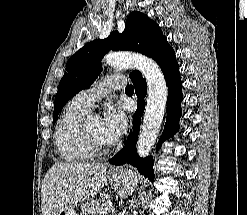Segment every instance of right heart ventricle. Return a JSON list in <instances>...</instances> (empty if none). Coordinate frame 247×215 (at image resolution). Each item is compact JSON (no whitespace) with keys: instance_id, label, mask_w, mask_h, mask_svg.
Listing matches in <instances>:
<instances>
[{"instance_id":"e07e8e85","label":"right heart ventricle","mask_w":247,"mask_h":215,"mask_svg":"<svg viewBox=\"0 0 247 215\" xmlns=\"http://www.w3.org/2000/svg\"><path fill=\"white\" fill-rule=\"evenodd\" d=\"M87 109L72 100L63 110L55 130V143L61 158L69 163L86 162L93 154L86 147L81 124Z\"/></svg>"}]
</instances>
